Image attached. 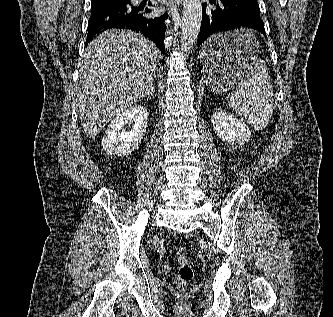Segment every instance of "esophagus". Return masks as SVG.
Here are the masks:
<instances>
[{"instance_id": "1", "label": "esophagus", "mask_w": 333, "mask_h": 317, "mask_svg": "<svg viewBox=\"0 0 333 317\" xmlns=\"http://www.w3.org/2000/svg\"><path fill=\"white\" fill-rule=\"evenodd\" d=\"M178 5H180L182 0H175ZM169 13L172 14V6L169 4Z\"/></svg>"}]
</instances>
